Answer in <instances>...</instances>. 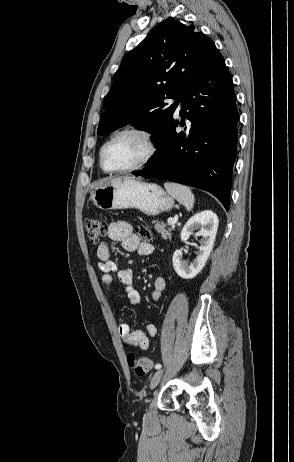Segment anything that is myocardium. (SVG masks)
Masks as SVG:
<instances>
[{
    "label": "myocardium",
    "instance_id": "obj_1",
    "mask_svg": "<svg viewBox=\"0 0 294 462\" xmlns=\"http://www.w3.org/2000/svg\"><path fill=\"white\" fill-rule=\"evenodd\" d=\"M124 134H135L140 136L146 143L147 146V152L144 155V157L135 165L123 168V169H117V170H109L104 166V152L106 147L111 144L115 139L118 137L124 135ZM158 152V144L156 141V137L154 133L144 127H139V126H129L122 128L118 130L116 133H114L101 147L100 152H99V162H100V167L101 169L110 174H122V173H129V172H134L143 169L146 167L156 156Z\"/></svg>",
    "mask_w": 294,
    "mask_h": 462
}]
</instances>
